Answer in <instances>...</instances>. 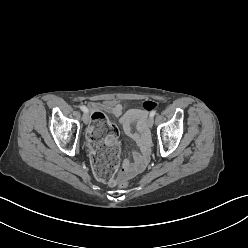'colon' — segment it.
Listing matches in <instances>:
<instances>
[{"instance_id": "5ec220e1", "label": "colon", "mask_w": 248, "mask_h": 248, "mask_svg": "<svg viewBox=\"0 0 248 248\" xmlns=\"http://www.w3.org/2000/svg\"><path fill=\"white\" fill-rule=\"evenodd\" d=\"M158 104L152 100L142 103V108L149 112L154 110ZM107 135L116 136L117 128L110 123L106 115L99 110L92 112V123L89 135V147L95 151L90 157L91 169L99 181L118 183L120 188H128L129 183L124 176L116 177L118 160L121 156V147L117 143L104 146Z\"/></svg>"}]
</instances>
